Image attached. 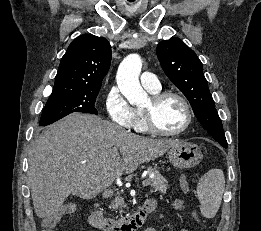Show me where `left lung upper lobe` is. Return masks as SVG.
Returning <instances> with one entry per match:
<instances>
[{"label": "left lung upper lobe", "mask_w": 261, "mask_h": 231, "mask_svg": "<svg viewBox=\"0 0 261 231\" xmlns=\"http://www.w3.org/2000/svg\"><path fill=\"white\" fill-rule=\"evenodd\" d=\"M157 56L168 78L189 100L202 126L215 140L227 143L202 63L195 52L181 39L171 38L158 44Z\"/></svg>", "instance_id": "left-lung-upper-lobe-1"}]
</instances>
